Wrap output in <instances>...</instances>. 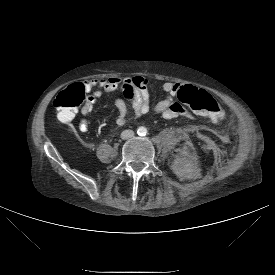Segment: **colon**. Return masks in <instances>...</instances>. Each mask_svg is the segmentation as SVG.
<instances>
[{"label":"colon","mask_w":275,"mask_h":275,"mask_svg":"<svg viewBox=\"0 0 275 275\" xmlns=\"http://www.w3.org/2000/svg\"><path fill=\"white\" fill-rule=\"evenodd\" d=\"M181 103L188 106L197 114L207 116L217 122L224 118L225 111L207 91L193 86H184L177 94ZM86 97L80 85H75L60 92L54 99L53 105L58 117L65 121L72 120L77 110L85 104Z\"/></svg>","instance_id":"1"}]
</instances>
